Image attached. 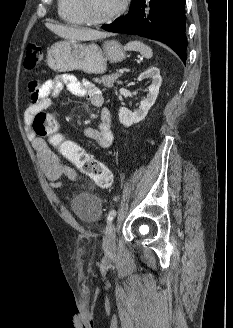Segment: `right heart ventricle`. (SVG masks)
<instances>
[{"instance_id":"1","label":"right heart ventricle","mask_w":233,"mask_h":328,"mask_svg":"<svg viewBox=\"0 0 233 328\" xmlns=\"http://www.w3.org/2000/svg\"><path fill=\"white\" fill-rule=\"evenodd\" d=\"M59 17L69 23L74 25L85 24V20L77 8L75 0H58L57 2Z\"/></svg>"}]
</instances>
